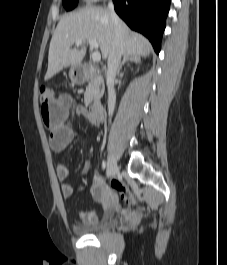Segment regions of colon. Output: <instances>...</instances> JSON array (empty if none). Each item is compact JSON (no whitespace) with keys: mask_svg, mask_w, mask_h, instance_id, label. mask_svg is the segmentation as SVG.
<instances>
[{"mask_svg":"<svg viewBox=\"0 0 227 265\" xmlns=\"http://www.w3.org/2000/svg\"><path fill=\"white\" fill-rule=\"evenodd\" d=\"M39 100L41 102H51L54 99V93L51 87L41 85L39 87ZM112 187L120 194L121 198L128 204H135L136 197L129 187L119 179H112Z\"/></svg>","mask_w":227,"mask_h":265,"instance_id":"obj_1","label":"colon"}]
</instances>
